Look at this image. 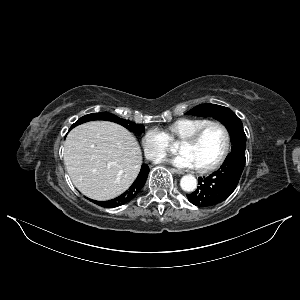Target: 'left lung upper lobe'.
<instances>
[{
  "instance_id": "1",
  "label": "left lung upper lobe",
  "mask_w": 300,
  "mask_h": 300,
  "mask_svg": "<svg viewBox=\"0 0 300 300\" xmlns=\"http://www.w3.org/2000/svg\"><path fill=\"white\" fill-rule=\"evenodd\" d=\"M186 114L201 117L213 116V118L222 122L228 129L232 143V152L245 153L246 135L242 122L229 108L216 104H203L194 107Z\"/></svg>"
}]
</instances>
